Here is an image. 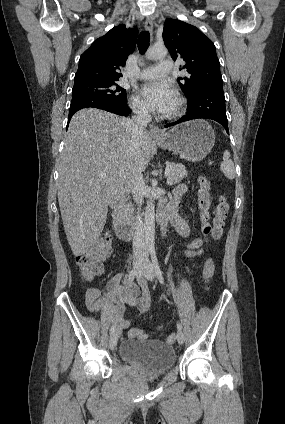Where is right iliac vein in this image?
<instances>
[{
	"mask_svg": "<svg viewBox=\"0 0 285 424\" xmlns=\"http://www.w3.org/2000/svg\"><path fill=\"white\" fill-rule=\"evenodd\" d=\"M141 263H142V258H141V256L136 257V258L134 259V262H133V268H134V270H135V272H136V275H140V274H141V270H142V265H141ZM117 341H118V334H117V333H113V334H111L110 339H109V348H110L111 350H114V349L116 348Z\"/></svg>",
	"mask_w": 285,
	"mask_h": 424,
	"instance_id": "1",
	"label": "right iliac vein"
}]
</instances>
